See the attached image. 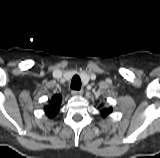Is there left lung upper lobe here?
Returning <instances> with one entry per match:
<instances>
[{
    "instance_id": "5c2ea615",
    "label": "left lung upper lobe",
    "mask_w": 160,
    "mask_h": 158,
    "mask_svg": "<svg viewBox=\"0 0 160 158\" xmlns=\"http://www.w3.org/2000/svg\"><path fill=\"white\" fill-rule=\"evenodd\" d=\"M111 112H112V108H111V107H110V108L103 109V110L101 111L103 117H106V116H107L108 114H110Z\"/></svg>"
}]
</instances>
